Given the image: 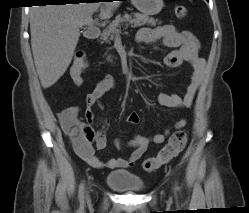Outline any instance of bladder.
I'll list each match as a JSON object with an SVG mask.
<instances>
[{"label":"bladder","instance_id":"obj_1","mask_svg":"<svg viewBox=\"0 0 249 213\" xmlns=\"http://www.w3.org/2000/svg\"><path fill=\"white\" fill-rule=\"evenodd\" d=\"M108 187L118 191L140 192L144 190V181L135 173L127 170L110 172L105 179Z\"/></svg>","mask_w":249,"mask_h":213}]
</instances>
